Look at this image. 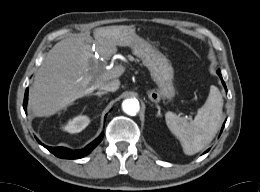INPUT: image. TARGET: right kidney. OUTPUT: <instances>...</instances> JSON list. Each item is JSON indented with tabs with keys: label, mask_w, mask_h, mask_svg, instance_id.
<instances>
[{
	"label": "right kidney",
	"mask_w": 260,
	"mask_h": 192,
	"mask_svg": "<svg viewBox=\"0 0 260 192\" xmlns=\"http://www.w3.org/2000/svg\"><path fill=\"white\" fill-rule=\"evenodd\" d=\"M89 122L87 116H77L67 123L65 130L69 133H79L88 126Z\"/></svg>",
	"instance_id": "ca27d5eb"
}]
</instances>
